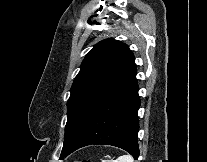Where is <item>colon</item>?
<instances>
[{"label":"colon","mask_w":207,"mask_h":162,"mask_svg":"<svg viewBox=\"0 0 207 162\" xmlns=\"http://www.w3.org/2000/svg\"><path fill=\"white\" fill-rule=\"evenodd\" d=\"M78 162H91V161H85V160H84V161H78Z\"/></svg>","instance_id":"obj_1"}]
</instances>
